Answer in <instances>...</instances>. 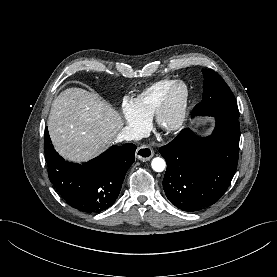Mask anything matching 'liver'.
<instances>
[{"mask_svg": "<svg viewBox=\"0 0 277 277\" xmlns=\"http://www.w3.org/2000/svg\"><path fill=\"white\" fill-rule=\"evenodd\" d=\"M123 124L115 109L81 88H68L54 99L47 123L56 151L79 163L106 150Z\"/></svg>", "mask_w": 277, "mask_h": 277, "instance_id": "obj_1", "label": "liver"}]
</instances>
